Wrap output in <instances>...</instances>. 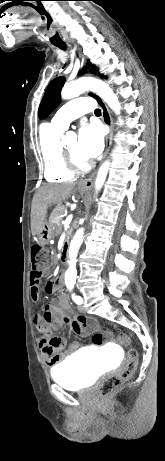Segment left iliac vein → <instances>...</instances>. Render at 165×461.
Returning <instances> with one entry per match:
<instances>
[{"instance_id": "obj_1", "label": "left iliac vein", "mask_w": 165, "mask_h": 461, "mask_svg": "<svg viewBox=\"0 0 165 461\" xmlns=\"http://www.w3.org/2000/svg\"><path fill=\"white\" fill-rule=\"evenodd\" d=\"M78 310H79L80 312L84 313V312H85V306H84V305H79V306H78Z\"/></svg>"}]
</instances>
